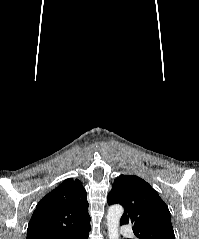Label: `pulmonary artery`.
<instances>
[{
    "mask_svg": "<svg viewBox=\"0 0 199 239\" xmlns=\"http://www.w3.org/2000/svg\"><path fill=\"white\" fill-rule=\"evenodd\" d=\"M121 234L126 238H132L134 236V232H133L132 228H130L127 225L122 226Z\"/></svg>",
    "mask_w": 199,
    "mask_h": 239,
    "instance_id": "e3ab8cb5",
    "label": "pulmonary artery"
}]
</instances>
